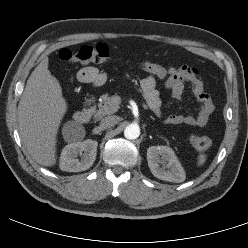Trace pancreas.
<instances>
[{"mask_svg":"<svg viewBox=\"0 0 248 248\" xmlns=\"http://www.w3.org/2000/svg\"><path fill=\"white\" fill-rule=\"evenodd\" d=\"M119 109V105L112 102L111 97L108 94L101 96V101L98 104V109L94 110V116L96 119H100L106 115H111Z\"/></svg>","mask_w":248,"mask_h":248,"instance_id":"obj_1","label":"pancreas"}]
</instances>
